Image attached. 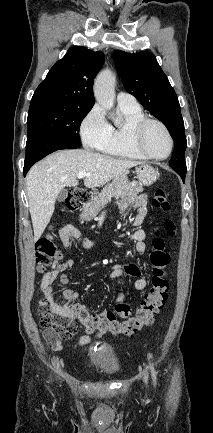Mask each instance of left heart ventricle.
I'll return each mask as SVG.
<instances>
[{
  "instance_id": "b2bd125f",
  "label": "left heart ventricle",
  "mask_w": 213,
  "mask_h": 433,
  "mask_svg": "<svg viewBox=\"0 0 213 433\" xmlns=\"http://www.w3.org/2000/svg\"><path fill=\"white\" fill-rule=\"evenodd\" d=\"M144 144L148 151L156 156H165L170 147L165 132L157 125H150L144 134Z\"/></svg>"
}]
</instances>
